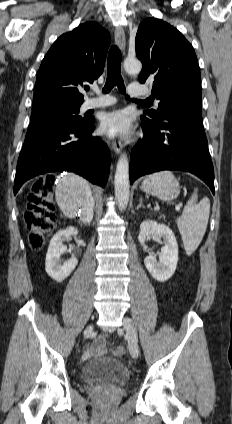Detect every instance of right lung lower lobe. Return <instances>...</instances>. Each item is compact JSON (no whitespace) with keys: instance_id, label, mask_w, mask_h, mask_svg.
<instances>
[{"instance_id":"right-lung-lower-lobe-1","label":"right lung lower lobe","mask_w":232,"mask_h":424,"mask_svg":"<svg viewBox=\"0 0 232 424\" xmlns=\"http://www.w3.org/2000/svg\"><path fill=\"white\" fill-rule=\"evenodd\" d=\"M94 120L85 124H30L14 180V194L24 182L52 171H72L92 183L106 185L110 168L107 145L90 134Z\"/></svg>"}]
</instances>
